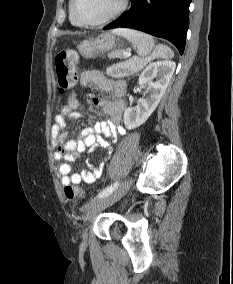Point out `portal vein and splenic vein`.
<instances>
[{
  "instance_id": "portal-vein-and-splenic-vein-1",
  "label": "portal vein and splenic vein",
  "mask_w": 233,
  "mask_h": 284,
  "mask_svg": "<svg viewBox=\"0 0 233 284\" xmlns=\"http://www.w3.org/2000/svg\"><path fill=\"white\" fill-rule=\"evenodd\" d=\"M124 55H125L126 57H130V56H131V53H130V52H124Z\"/></svg>"
}]
</instances>
